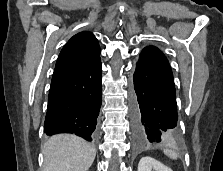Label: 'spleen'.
<instances>
[{
  "instance_id": "obj_1",
  "label": "spleen",
  "mask_w": 223,
  "mask_h": 171,
  "mask_svg": "<svg viewBox=\"0 0 223 171\" xmlns=\"http://www.w3.org/2000/svg\"><path fill=\"white\" fill-rule=\"evenodd\" d=\"M163 152L166 156H168L171 159L178 158V154L176 152H174L173 150L165 149V150H163Z\"/></svg>"
}]
</instances>
